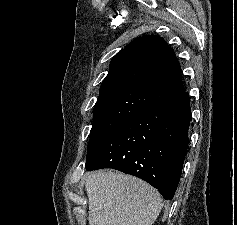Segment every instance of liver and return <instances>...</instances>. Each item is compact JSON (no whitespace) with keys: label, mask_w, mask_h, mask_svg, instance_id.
<instances>
[{"label":"liver","mask_w":237,"mask_h":225,"mask_svg":"<svg viewBox=\"0 0 237 225\" xmlns=\"http://www.w3.org/2000/svg\"><path fill=\"white\" fill-rule=\"evenodd\" d=\"M89 225H153L163 208L159 192L145 181L111 170L88 176Z\"/></svg>","instance_id":"1"}]
</instances>
